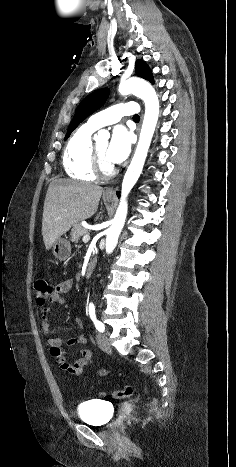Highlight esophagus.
<instances>
[{
    "instance_id": "34e87169",
    "label": "esophagus",
    "mask_w": 236,
    "mask_h": 467,
    "mask_svg": "<svg viewBox=\"0 0 236 467\" xmlns=\"http://www.w3.org/2000/svg\"><path fill=\"white\" fill-rule=\"evenodd\" d=\"M139 130V129H138ZM105 195H109V196H112V195H115V186H111L109 188H107L104 192Z\"/></svg>"
}]
</instances>
